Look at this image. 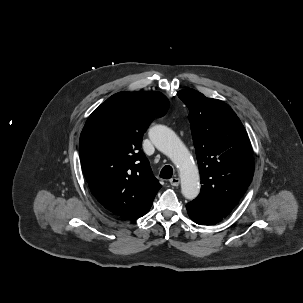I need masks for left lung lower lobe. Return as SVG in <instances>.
<instances>
[{"instance_id": "0a47b994", "label": "left lung lower lobe", "mask_w": 303, "mask_h": 303, "mask_svg": "<svg viewBox=\"0 0 303 303\" xmlns=\"http://www.w3.org/2000/svg\"><path fill=\"white\" fill-rule=\"evenodd\" d=\"M186 209L189 217L199 225H213L224 218L220 214L194 202H189Z\"/></svg>"}]
</instances>
